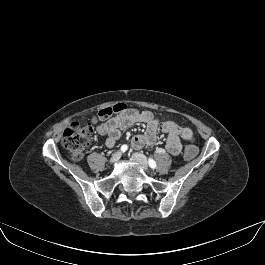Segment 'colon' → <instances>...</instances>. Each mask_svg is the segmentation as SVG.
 I'll use <instances>...</instances> for the list:
<instances>
[{
  "mask_svg": "<svg viewBox=\"0 0 265 265\" xmlns=\"http://www.w3.org/2000/svg\"><path fill=\"white\" fill-rule=\"evenodd\" d=\"M127 109L125 104H116L113 107L103 108L99 111L98 116L102 120L110 118L113 114H120ZM95 138V131L91 126H81L78 123L71 124L65 129L62 145L74 160H80L87 147ZM198 154L195 146L189 145L184 150V158L191 160Z\"/></svg>",
  "mask_w": 265,
  "mask_h": 265,
  "instance_id": "obj_1",
  "label": "colon"
}]
</instances>
